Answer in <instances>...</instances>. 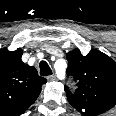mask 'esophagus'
Returning a JSON list of instances; mask_svg holds the SVG:
<instances>
[{
    "label": "esophagus",
    "mask_w": 116,
    "mask_h": 116,
    "mask_svg": "<svg viewBox=\"0 0 116 116\" xmlns=\"http://www.w3.org/2000/svg\"><path fill=\"white\" fill-rule=\"evenodd\" d=\"M47 80H48V81H55V80H57V77H56L55 74H53V75L48 76V77H47Z\"/></svg>",
    "instance_id": "esophagus-1"
}]
</instances>
